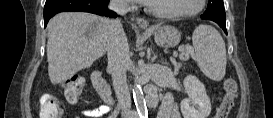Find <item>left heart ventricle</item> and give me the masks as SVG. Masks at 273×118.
<instances>
[{
  "label": "left heart ventricle",
  "instance_id": "obj_1",
  "mask_svg": "<svg viewBox=\"0 0 273 118\" xmlns=\"http://www.w3.org/2000/svg\"><path fill=\"white\" fill-rule=\"evenodd\" d=\"M150 3L160 12H188L196 8L198 0H153Z\"/></svg>",
  "mask_w": 273,
  "mask_h": 118
}]
</instances>
